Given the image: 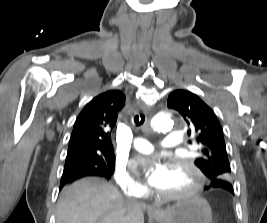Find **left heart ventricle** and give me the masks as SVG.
Returning <instances> with one entry per match:
<instances>
[{
    "label": "left heart ventricle",
    "instance_id": "1",
    "mask_svg": "<svg viewBox=\"0 0 267 223\" xmlns=\"http://www.w3.org/2000/svg\"><path fill=\"white\" fill-rule=\"evenodd\" d=\"M194 183V177L186 168H168L167 178L157 187V190L164 193L182 192L188 190Z\"/></svg>",
    "mask_w": 267,
    "mask_h": 223
}]
</instances>
